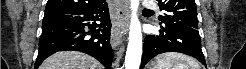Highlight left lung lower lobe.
I'll return each instance as SVG.
<instances>
[{
  "instance_id": "0a47b994",
  "label": "left lung lower lobe",
  "mask_w": 246,
  "mask_h": 69,
  "mask_svg": "<svg viewBox=\"0 0 246 69\" xmlns=\"http://www.w3.org/2000/svg\"><path fill=\"white\" fill-rule=\"evenodd\" d=\"M159 35H147L141 69L156 55L165 52H180L190 55L206 65L201 50V39L196 29L184 26H161Z\"/></svg>"
}]
</instances>
